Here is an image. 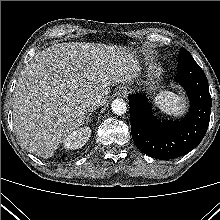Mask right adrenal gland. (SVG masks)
<instances>
[{
  "label": "right adrenal gland",
  "instance_id": "2a0ac1e0",
  "mask_svg": "<svg viewBox=\"0 0 220 220\" xmlns=\"http://www.w3.org/2000/svg\"><path fill=\"white\" fill-rule=\"evenodd\" d=\"M91 116H92V113H89V115L86 117L85 119V122L88 124V122L91 121Z\"/></svg>",
  "mask_w": 220,
  "mask_h": 220
}]
</instances>
